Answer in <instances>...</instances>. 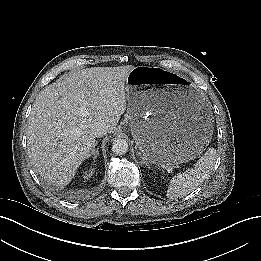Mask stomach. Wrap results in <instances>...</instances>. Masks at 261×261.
I'll return each mask as SVG.
<instances>
[{"instance_id": "0dacf381", "label": "stomach", "mask_w": 261, "mask_h": 261, "mask_svg": "<svg viewBox=\"0 0 261 261\" xmlns=\"http://www.w3.org/2000/svg\"><path fill=\"white\" fill-rule=\"evenodd\" d=\"M126 91L131 132L149 163H186L209 144L210 112L185 78L160 68L139 66L129 73Z\"/></svg>"}]
</instances>
